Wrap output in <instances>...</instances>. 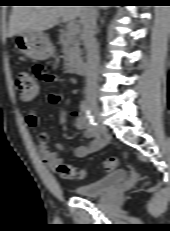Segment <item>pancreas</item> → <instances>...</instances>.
<instances>
[{
	"instance_id": "obj_1",
	"label": "pancreas",
	"mask_w": 170,
	"mask_h": 231,
	"mask_svg": "<svg viewBox=\"0 0 170 231\" xmlns=\"http://www.w3.org/2000/svg\"><path fill=\"white\" fill-rule=\"evenodd\" d=\"M60 38L65 42L63 44L64 66L68 71H73L81 62L80 42L76 35L71 34L68 30L60 31Z\"/></svg>"
}]
</instances>
